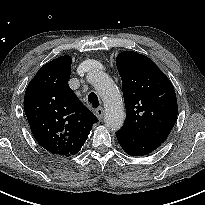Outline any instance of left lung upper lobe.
I'll return each mask as SVG.
<instances>
[{
  "label": "left lung upper lobe",
  "instance_id": "5c2ea615",
  "mask_svg": "<svg viewBox=\"0 0 205 205\" xmlns=\"http://www.w3.org/2000/svg\"><path fill=\"white\" fill-rule=\"evenodd\" d=\"M116 65L127 113L122 128L163 143L177 119L172 83L151 59L136 52L120 53Z\"/></svg>",
  "mask_w": 205,
  "mask_h": 205
}]
</instances>
